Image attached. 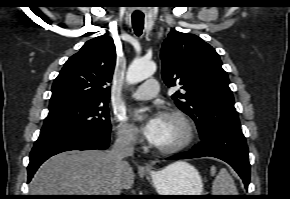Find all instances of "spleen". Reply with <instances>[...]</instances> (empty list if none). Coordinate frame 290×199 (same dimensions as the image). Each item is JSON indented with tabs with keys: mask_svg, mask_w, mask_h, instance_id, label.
I'll list each match as a JSON object with an SVG mask.
<instances>
[{
	"mask_svg": "<svg viewBox=\"0 0 290 199\" xmlns=\"http://www.w3.org/2000/svg\"><path fill=\"white\" fill-rule=\"evenodd\" d=\"M216 173V167H211V175ZM213 195H238L233 178L224 168L220 170L212 185Z\"/></svg>",
	"mask_w": 290,
	"mask_h": 199,
	"instance_id": "spleen-1",
	"label": "spleen"
}]
</instances>
